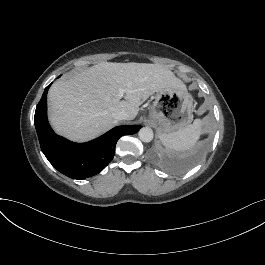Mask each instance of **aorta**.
<instances>
[{
    "label": "aorta",
    "instance_id": "aorta-1",
    "mask_svg": "<svg viewBox=\"0 0 265 265\" xmlns=\"http://www.w3.org/2000/svg\"><path fill=\"white\" fill-rule=\"evenodd\" d=\"M138 136H139L141 141L150 142V141H152L153 136H154L153 130L151 128H149V127H143L138 132Z\"/></svg>",
    "mask_w": 265,
    "mask_h": 265
}]
</instances>
